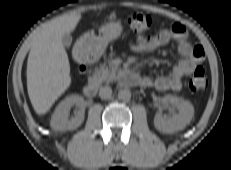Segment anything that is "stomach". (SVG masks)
Wrapping results in <instances>:
<instances>
[{"label":"stomach","mask_w":231,"mask_h":170,"mask_svg":"<svg viewBox=\"0 0 231 170\" xmlns=\"http://www.w3.org/2000/svg\"><path fill=\"white\" fill-rule=\"evenodd\" d=\"M119 21L108 20L97 30L82 35L76 45L90 59H98L105 51L109 42L116 40L122 33Z\"/></svg>","instance_id":"0dacf381"}]
</instances>
